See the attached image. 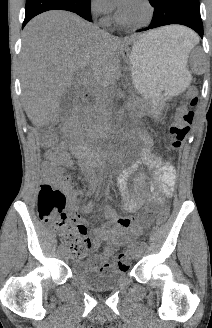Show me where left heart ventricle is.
I'll list each match as a JSON object with an SVG mask.
<instances>
[{
    "mask_svg": "<svg viewBox=\"0 0 212 328\" xmlns=\"http://www.w3.org/2000/svg\"><path fill=\"white\" fill-rule=\"evenodd\" d=\"M122 14L129 21L139 22L146 17L147 12L139 0H133L127 9L122 11Z\"/></svg>",
    "mask_w": 212,
    "mask_h": 328,
    "instance_id": "left-heart-ventricle-1",
    "label": "left heart ventricle"
}]
</instances>
